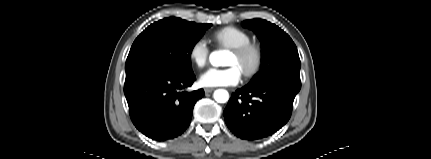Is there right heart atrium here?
<instances>
[{
  "mask_svg": "<svg viewBox=\"0 0 431 159\" xmlns=\"http://www.w3.org/2000/svg\"><path fill=\"white\" fill-rule=\"evenodd\" d=\"M209 52L210 50L206 39L199 38L195 40L190 46L188 56L192 63L201 68L206 65Z\"/></svg>",
  "mask_w": 431,
  "mask_h": 159,
  "instance_id": "right-heart-atrium-1",
  "label": "right heart atrium"
}]
</instances>
